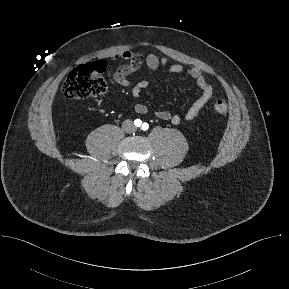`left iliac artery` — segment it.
Here are the masks:
<instances>
[{
  "mask_svg": "<svg viewBox=\"0 0 289 289\" xmlns=\"http://www.w3.org/2000/svg\"><path fill=\"white\" fill-rule=\"evenodd\" d=\"M149 128V125L147 123L142 124V130H147Z\"/></svg>",
  "mask_w": 289,
  "mask_h": 289,
  "instance_id": "obj_1",
  "label": "left iliac artery"
}]
</instances>
